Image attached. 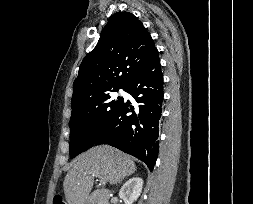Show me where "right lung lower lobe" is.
<instances>
[{"label":"right lung lower lobe","instance_id":"obj_1","mask_svg":"<svg viewBox=\"0 0 253 204\" xmlns=\"http://www.w3.org/2000/svg\"><path fill=\"white\" fill-rule=\"evenodd\" d=\"M123 89L136 102L122 101L95 145L114 146L142 160L152 171L158 156V123L163 101V76L157 49Z\"/></svg>","mask_w":253,"mask_h":204}]
</instances>
